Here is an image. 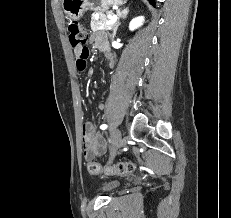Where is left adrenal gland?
<instances>
[{
  "mask_svg": "<svg viewBox=\"0 0 231 218\" xmlns=\"http://www.w3.org/2000/svg\"><path fill=\"white\" fill-rule=\"evenodd\" d=\"M128 12H129L128 8H124L123 10L117 11L118 21L113 29L112 37L116 36L117 29L120 26V19H125L127 17Z\"/></svg>",
  "mask_w": 231,
  "mask_h": 218,
  "instance_id": "a2214340",
  "label": "left adrenal gland"
}]
</instances>
